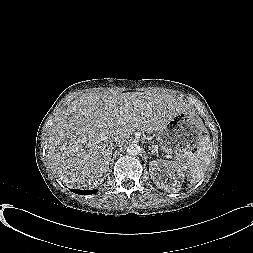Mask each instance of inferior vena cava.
Returning a JSON list of instances; mask_svg holds the SVG:
<instances>
[{"instance_id": "1", "label": "inferior vena cava", "mask_w": 253, "mask_h": 253, "mask_svg": "<svg viewBox=\"0 0 253 253\" xmlns=\"http://www.w3.org/2000/svg\"><path fill=\"white\" fill-rule=\"evenodd\" d=\"M112 146L113 147H120L121 146V139L119 138V137H114L113 139H112Z\"/></svg>"}]
</instances>
